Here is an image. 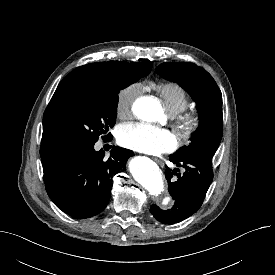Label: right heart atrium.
Masks as SVG:
<instances>
[{
	"instance_id": "d8ad5b80",
	"label": "right heart atrium",
	"mask_w": 275,
	"mask_h": 275,
	"mask_svg": "<svg viewBox=\"0 0 275 275\" xmlns=\"http://www.w3.org/2000/svg\"><path fill=\"white\" fill-rule=\"evenodd\" d=\"M142 91L143 86L138 82L128 84L119 90L115 103L119 118H127L131 115L133 104Z\"/></svg>"
}]
</instances>
